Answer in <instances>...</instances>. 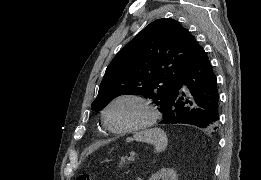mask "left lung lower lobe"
<instances>
[{
  "label": "left lung lower lobe",
  "instance_id": "0a47b994",
  "mask_svg": "<svg viewBox=\"0 0 261 180\" xmlns=\"http://www.w3.org/2000/svg\"><path fill=\"white\" fill-rule=\"evenodd\" d=\"M218 110L217 78L206 52L198 46L173 89L161 122L190 124L213 131L218 125Z\"/></svg>",
  "mask_w": 261,
  "mask_h": 180
}]
</instances>
